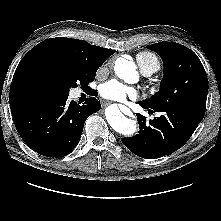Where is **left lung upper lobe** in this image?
<instances>
[{
	"label": "left lung upper lobe",
	"instance_id": "5c2ea615",
	"mask_svg": "<svg viewBox=\"0 0 221 221\" xmlns=\"http://www.w3.org/2000/svg\"><path fill=\"white\" fill-rule=\"evenodd\" d=\"M147 48L162 58L164 75L160 90L143 103L154 110L183 107L205 111L208 79L197 55L175 42H160Z\"/></svg>",
	"mask_w": 221,
	"mask_h": 221
}]
</instances>
